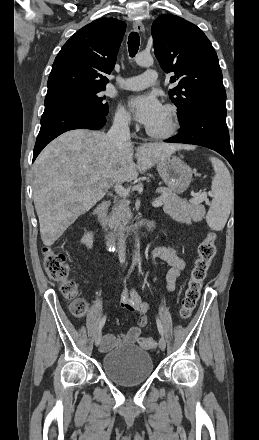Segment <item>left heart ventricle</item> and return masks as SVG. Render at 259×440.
I'll list each match as a JSON object with an SVG mask.
<instances>
[{"label":"left heart ventricle","mask_w":259,"mask_h":440,"mask_svg":"<svg viewBox=\"0 0 259 440\" xmlns=\"http://www.w3.org/2000/svg\"><path fill=\"white\" fill-rule=\"evenodd\" d=\"M166 127H167V114L164 110L160 119L157 122H155L152 126H150L149 128L154 131H162Z\"/></svg>","instance_id":"1"}]
</instances>
